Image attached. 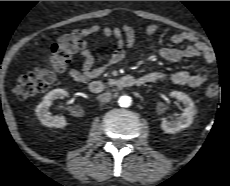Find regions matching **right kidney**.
Masks as SVG:
<instances>
[{
	"label": "right kidney",
	"mask_w": 230,
	"mask_h": 186,
	"mask_svg": "<svg viewBox=\"0 0 230 186\" xmlns=\"http://www.w3.org/2000/svg\"><path fill=\"white\" fill-rule=\"evenodd\" d=\"M68 92L64 89H54L47 93L42 102L36 107V115L40 122L47 127L64 128L67 121L63 116H52L49 107L53 100L67 96Z\"/></svg>",
	"instance_id": "right-kidney-1"
}]
</instances>
